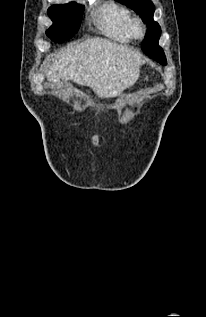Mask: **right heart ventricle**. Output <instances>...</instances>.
<instances>
[{"mask_svg": "<svg viewBox=\"0 0 206 317\" xmlns=\"http://www.w3.org/2000/svg\"><path fill=\"white\" fill-rule=\"evenodd\" d=\"M97 26L108 38L121 42H130L132 33V15L129 9L114 0H106L96 9Z\"/></svg>", "mask_w": 206, "mask_h": 317, "instance_id": "e07e8e85", "label": "right heart ventricle"}]
</instances>
